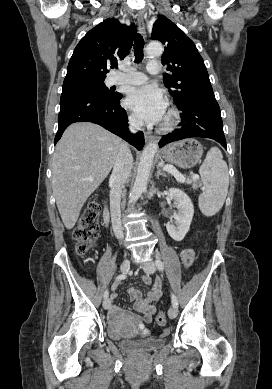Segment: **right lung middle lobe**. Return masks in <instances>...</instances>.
Segmentation results:
<instances>
[{
	"mask_svg": "<svg viewBox=\"0 0 272 389\" xmlns=\"http://www.w3.org/2000/svg\"><path fill=\"white\" fill-rule=\"evenodd\" d=\"M68 91L90 92L111 99H115L121 95L120 93L108 89L104 84V80L86 81V82L74 83L69 85H63L62 92H68Z\"/></svg>",
	"mask_w": 272,
	"mask_h": 389,
	"instance_id": "dd1d6c3e",
	"label": "right lung middle lobe"
}]
</instances>
